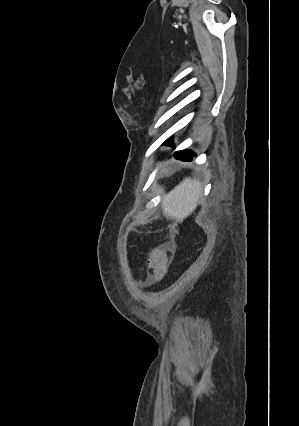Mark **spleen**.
I'll return each instance as SVG.
<instances>
[{
	"label": "spleen",
	"mask_w": 299,
	"mask_h": 426,
	"mask_svg": "<svg viewBox=\"0 0 299 426\" xmlns=\"http://www.w3.org/2000/svg\"><path fill=\"white\" fill-rule=\"evenodd\" d=\"M201 193L202 187L199 180L185 178L164 197L163 215L176 222H182L196 208Z\"/></svg>",
	"instance_id": "obj_1"
}]
</instances>
